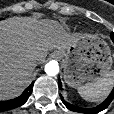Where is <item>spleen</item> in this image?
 Returning a JSON list of instances; mask_svg holds the SVG:
<instances>
[{"instance_id": "spleen-1", "label": "spleen", "mask_w": 114, "mask_h": 114, "mask_svg": "<svg viewBox=\"0 0 114 114\" xmlns=\"http://www.w3.org/2000/svg\"><path fill=\"white\" fill-rule=\"evenodd\" d=\"M114 86V71L97 80L95 83L86 84L78 88L80 96L89 102H102Z\"/></svg>"}]
</instances>
